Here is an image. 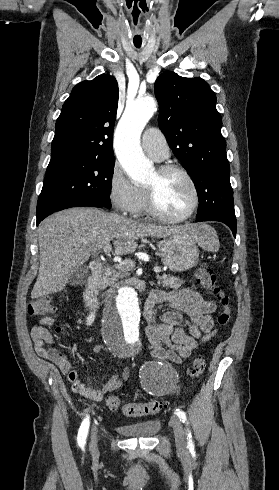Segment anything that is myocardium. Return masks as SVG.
Wrapping results in <instances>:
<instances>
[{"mask_svg": "<svg viewBox=\"0 0 279 490\" xmlns=\"http://www.w3.org/2000/svg\"><path fill=\"white\" fill-rule=\"evenodd\" d=\"M157 171L160 174L176 172L183 175L192 188L194 198L191 207L184 214L180 216H171L166 214L159 207L156 199L155 187L147 186V202H148L149 212L156 218L170 223H178L187 220L196 212L200 204V191L195 179L193 178L191 173L180 164H174V163L164 164L160 166L157 169Z\"/></svg>", "mask_w": 279, "mask_h": 490, "instance_id": "obj_1", "label": "myocardium"}]
</instances>
